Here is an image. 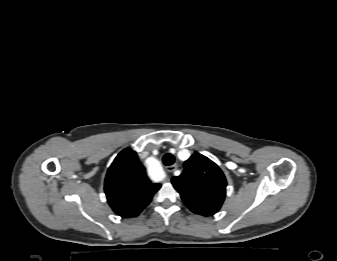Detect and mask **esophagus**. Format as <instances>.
<instances>
[{
    "label": "esophagus",
    "instance_id": "1",
    "mask_svg": "<svg viewBox=\"0 0 337 261\" xmlns=\"http://www.w3.org/2000/svg\"><path fill=\"white\" fill-rule=\"evenodd\" d=\"M176 169H177V165L176 164L166 167V171L167 172H173Z\"/></svg>",
    "mask_w": 337,
    "mask_h": 261
}]
</instances>
